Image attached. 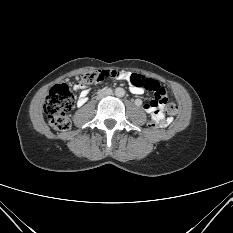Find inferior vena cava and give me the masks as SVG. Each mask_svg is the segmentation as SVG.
Wrapping results in <instances>:
<instances>
[{
    "label": "inferior vena cava",
    "mask_w": 233,
    "mask_h": 233,
    "mask_svg": "<svg viewBox=\"0 0 233 233\" xmlns=\"http://www.w3.org/2000/svg\"><path fill=\"white\" fill-rule=\"evenodd\" d=\"M112 89L111 88H106L105 91H102L101 93L98 94L99 98H106V96L112 95Z\"/></svg>",
    "instance_id": "602c4592"
}]
</instances>
